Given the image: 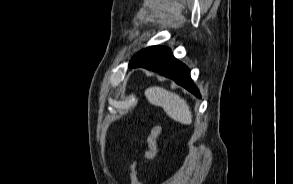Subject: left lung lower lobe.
Returning <instances> with one entry per match:
<instances>
[{
    "label": "left lung lower lobe",
    "instance_id": "1",
    "mask_svg": "<svg viewBox=\"0 0 293 184\" xmlns=\"http://www.w3.org/2000/svg\"><path fill=\"white\" fill-rule=\"evenodd\" d=\"M147 54L146 58L131 65L130 68L143 67L157 71L161 75L171 78L195 96L201 97L190 77L189 68L175 59L170 49L162 46H151L147 48Z\"/></svg>",
    "mask_w": 293,
    "mask_h": 184
}]
</instances>
